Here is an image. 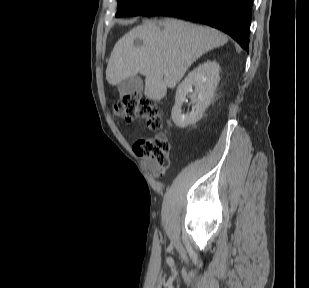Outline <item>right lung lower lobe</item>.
Masks as SVG:
<instances>
[{
    "mask_svg": "<svg viewBox=\"0 0 309 288\" xmlns=\"http://www.w3.org/2000/svg\"><path fill=\"white\" fill-rule=\"evenodd\" d=\"M253 0H163L143 16H172L222 30L249 51Z\"/></svg>",
    "mask_w": 309,
    "mask_h": 288,
    "instance_id": "right-lung-lower-lobe-1",
    "label": "right lung lower lobe"
}]
</instances>
